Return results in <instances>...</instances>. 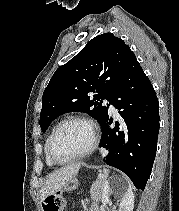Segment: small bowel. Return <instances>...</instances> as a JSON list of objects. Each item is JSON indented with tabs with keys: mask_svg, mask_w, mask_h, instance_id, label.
<instances>
[{
	"mask_svg": "<svg viewBox=\"0 0 179 211\" xmlns=\"http://www.w3.org/2000/svg\"><path fill=\"white\" fill-rule=\"evenodd\" d=\"M89 211H99V208L96 205H93Z\"/></svg>",
	"mask_w": 179,
	"mask_h": 211,
	"instance_id": "1",
	"label": "small bowel"
}]
</instances>
